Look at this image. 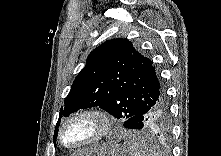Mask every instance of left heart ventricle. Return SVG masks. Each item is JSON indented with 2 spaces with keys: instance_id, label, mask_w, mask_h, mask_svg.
Listing matches in <instances>:
<instances>
[{
  "instance_id": "1",
  "label": "left heart ventricle",
  "mask_w": 221,
  "mask_h": 156,
  "mask_svg": "<svg viewBox=\"0 0 221 156\" xmlns=\"http://www.w3.org/2000/svg\"><path fill=\"white\" fill-rule=\"evenodd\" d=\"M97 131V123L92 118H80L69 123L63 132V141L75 145L86 141Z\"/></svg>"
}]
</instances>
